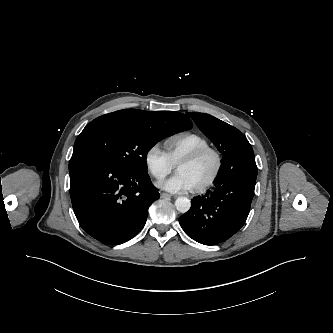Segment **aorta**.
Masks as SVG:
<instances>
[{
	"instance_id": "1",
	"label": "aorta",
	"mask_w": 333,
	"mask_h": 333,
	"mask_svg": "<svg viewBox=\"0 0 333 333\" xmlns=\"http://www.w3.org/2000/svg\"><path fill=\"white\" fill-rule=\"evenodd\" d=\"M175 207L179 212L185 213L190 209L191 202L187 197H178L175 200Z\"/></svg>"
}]
</instances>
